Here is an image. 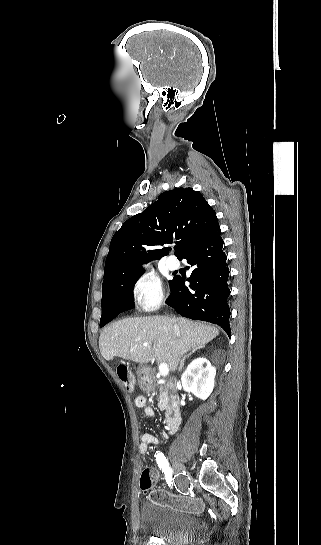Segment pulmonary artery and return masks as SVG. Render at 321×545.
<instances>
[{"label": "pulmonary artery", "mask_w": 321, "mask_h": 545, "mask_svg": "<svg viewBox=\"0 0 321 545\" xmlns=\"http://www.w3.org/2000/svg\"><path fill=\"white\" fill-rule=\"evenodd\" d=\"M166 267L170 270V271H174V270H177L179 267H180V263L177 259L175 258H169L167 259L166 261Z\"/></svg>", "instance_id": "1"}]
</instances>
